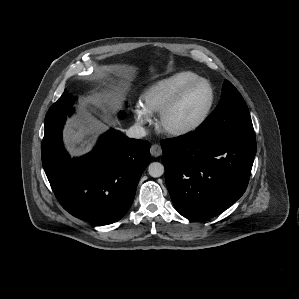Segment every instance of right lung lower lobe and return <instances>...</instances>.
<instances>
[{"label":"right lung lower lobe","mask_w":299,"mask_h":299,"mask_svg":"<svg viewBox=\"0 0 299 299\" xmlns=\"http://www.w3.org/2000/svg\"><path fill=\"white\" fill-rule=\"evenodd\" d=\"M73 112L71 108L46 114L41 144L45 173L57 200L70 214L95 224L114 223L133 202L151 160L150 144L110 129L90 153L71 159L63 147L62 127Z\"/></svg>","instance_id":"right-lung-lower-lobe-1"}]
</instances>
